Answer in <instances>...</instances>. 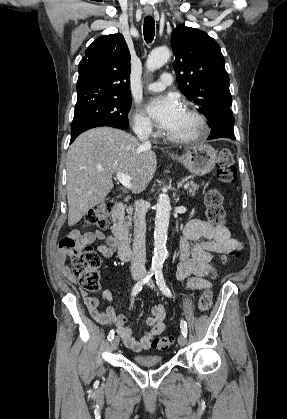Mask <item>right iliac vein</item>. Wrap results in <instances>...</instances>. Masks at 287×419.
<instances>
[{"mask_svg":"<svg viewBox=\"0 0 287 419\" xmlns=\"http://www.w3.org/2000/svg\"><path fill=\"white\" fill-rule=\"evenodd\" d=\"M140 278L138 276L135 277V280H139ZM119 337L115 336L112 340H111V349L112 350H116L118 345H119Z\"/></svg>","mask_w":287,"mask_h":419,"instance_id":"1","label":"right iliac vein"}]
</instances>
